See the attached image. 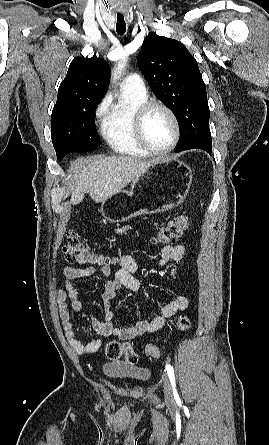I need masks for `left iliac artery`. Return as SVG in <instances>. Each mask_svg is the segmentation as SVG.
I'll list each match as a JSON object with an SVG mask.
<instances>
[{
    "mask_svg": "<svg viewBox=\"0 0 269 445\" xmlns=\"http://www.w3.org/2000/svg\"><path fill=\"white\" fill-rule=\"evenodd\" d=\"M166 370H167V374L169 376L170 382L172 384L173 387V393H174V397L175 399L178 398V393L176 391V386H175V374H174V370L173 367L169 364L166 365Z\"/></svg>",
    "mask_w": 269,
    "mask_h": 445,
    "instance_id": "1",
    "label": "left iliac artery"
}]
</instances>
